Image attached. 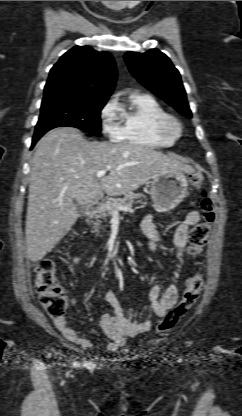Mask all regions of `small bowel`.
Instances as JSON below:
<instances>
[{
    "mask_svg": "<svg viewBox=\"0 0 242 416\" xmlns=\"http://www.w3.org/2000/svg\"><path fill=\"white\" fill-rule=\"evenodd\" d=\"M201 219L197 211H190L185 219L178 223L172 235V244L175 252L174 278L179 275L181 258L187 245L188 230L197 224ZM141 228L150 238L149 250L153 251L155 243L162 240V235L154 223V215H147L142 223ZM80 259L75 257L74 264H78ZM105 300L112 307V313H104L101 316L100 327L102 332L109 339L106 349L116 351L122 347L127 338L135 337L149 331L152 328L153 320L151 317L145 318L141 322L129 320L125 317L121 304L115 293L108 289L105 292ZM178 298V288L176 284H170L165 291L159 284L154 285L149 293V302L152 314L155 317H162L176 303ZM53 322L63 337L69 342L76 344L84 349H90L92 343L79 335L69 324L65 317L53 318Z\"/></svg>",
    "mask_w": 242,
    "mask_h": 416,
    "instance_id": "small-bowel-1",
    "label": "small bowel"
}]
</instances>
